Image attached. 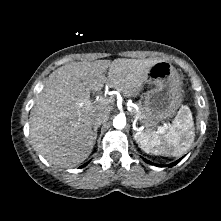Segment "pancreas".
I'll use <instances>...</instances> for the list:
<instances>
[{
  "label": "pancreas",
  "instance_id": "cf45deb5",
  "mask_svg": "<svg viewBox=\"0 0 221 221\" xmlns=\"http://www.w3.org/2000/svg\"><path fill=\"white\" fill-rule=\"evenodd\" d=\"M133 113L136 117L142 119L143 118V112L141 110L137 111L135 109H133Z\"/></svg>",
  "mask_w": 221,
  "mask_h": 221
}]
</instances>
